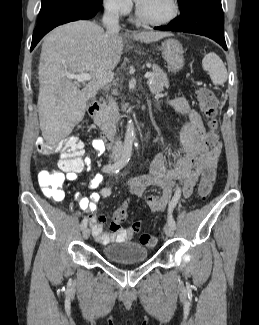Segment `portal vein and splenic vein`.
Returning a JSON list of instances; mask_svg holds the SVG:
<instances>
[{"mask_svg": "<svg viewBox=\"0 0 259 325\" xmlns=\"http://www.w3.org/2000/svg\"><path fill=\"white\" fill-rule=\"evenodd\" d=\"M151 75L152 72H147L144 77L147 79L151 77ZM67 78L71 80H75L77 82H83V81H90L92 79V76L88 73H83L78 75H68Z\"/></svg>", "mask_w": 259, "mask_h": 325, "instance_id": "18ae733b", "label": "portal vein and splenic vein"}]
</instances>
